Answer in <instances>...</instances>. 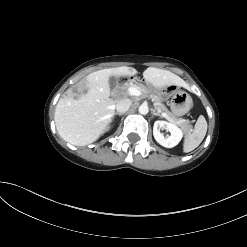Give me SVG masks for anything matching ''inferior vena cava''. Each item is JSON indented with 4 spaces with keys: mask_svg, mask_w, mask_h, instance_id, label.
Listing matches in <instances>:
<instances>
[{
    "mask_svg": "<svg viewBox=\"0 0 247 247\" xmlns=\"http://www.w3.org/2000/svg\"><path fill=\"white\" fill-rule=\"evenodd\" d=\"M132 102L130 99H121L116 103V110L118 113H125L130 108Z\"/></svg>",
    "mask_w": 247,
    "mask_h": 247,
    "instance_id": "602c4592",
    "label": "inferior vena cava"
}]
</instances>
